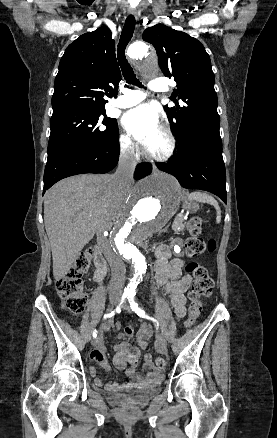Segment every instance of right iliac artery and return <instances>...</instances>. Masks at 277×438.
Listing matches in <instances>:
<instances>
[{
	"mask_svg": "<svg viewBox=\"0 0 277 438\" xmlns=\"http://www.w3.org/2000/svg\"><path fill=\"white\" fill-rule=\"evenodd\" d=\"M126 297H127L126 295H123V296H122V299H121V303L119 304V306H117L116 310H115V311H112V312L109 313V314H105V315H104V318L112 317L115 313H119V312L121 311V304L123 303V301H124V299H125ZM93 337H94V338L97 337V331H96V330H94V332H93Z\"/></svg>",
	"mask_w": 277,
	"mask_h": 438,
	"instance_id": "1",
	"label": "right iliac artery"
}]
</instances>
